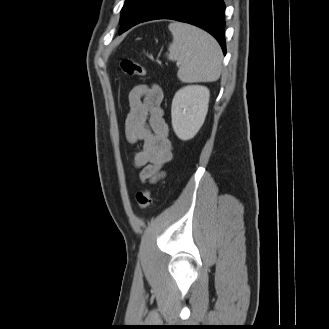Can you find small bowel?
<instances>
[{
	"label": "small bowel",
	"instance_id": "obj_1",
	"mask_svg": "<svg viewBox=\"0 0 329 329\" xmlns=\"http://www.w3.org/2000/svg\"><path fill=\"white\" fill-rule=\"evenodd\" d=\"M162 100L163 91L157 84L137 85L128 94L125 134L129 143H141L132 164L140 170L143 182L162 178L161 168L173 160V146L163 117Z\"/></svg>",
	"mask_w": 329,
	"mask_h": 329
}]
</instances>
